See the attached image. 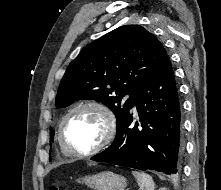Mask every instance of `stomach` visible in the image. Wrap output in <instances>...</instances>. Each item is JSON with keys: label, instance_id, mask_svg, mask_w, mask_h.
Listing matches in <instances>:
<instances>
[{"label": "stomach", "instance_id": "obj_1", "mask_svg": "<svg viewBox=\"0 0 221 190\" xmlns=\"http://www.w3.org/2000/svg\"><path fill=\"white\" fill-rule=\"evenodd\" d=\"M79 183L85 184L94 190H124L127 180L124 176L111 171H103L95 175H88L78 179Z\"/></svg>", "mask_w": 221, "mask_h": 190}]
</instances>
